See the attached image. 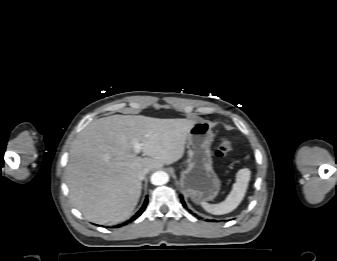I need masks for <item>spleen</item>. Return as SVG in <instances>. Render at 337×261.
Returning a JSON list of instances; mask_svg holds the SVG:
<instances>
[{
    "mask_svg": "<svg viewBox=\"0 0 337 261\" xmlns=\"http://www.w3.org/2000/svg\"><path fill=\"white\" fill-rule=\"evenodd\" d=\"M251 172L248 168L240 169L236 174V182L233 184L232 190L226 200L219 204H208L202 202V207L209 213L214 215H222L236 209L243 200L248 183L250 181Z\"/></svg>",
    "mask_w": 337,
    "mask_h": 261,
    "instance_id": "3e777b00",
    "label": "spleen"
}]
</instances>
